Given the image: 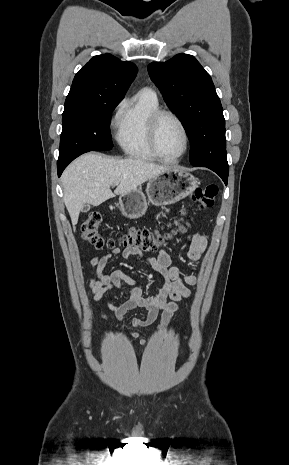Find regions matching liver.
Masks as SVG:
<instances>
[{"label": "liver", "mask_w": 289, "mask_h": 465, "mask_svg": "<svg viewBox=\"0 0 289 465\" xmlns=\"http://www.w3.org/2000/svg\"><path fill=\"white\" fill-rule=\"evenodd\" d=\"M170 169L142 159H114L87 153L73 161L62 174L64 203L73 228L84 204L98 206L116 195H124ZM117 183L114 192L110 187Z\"/></svg>", "instance_id": "obj_1"}]
</instances>
